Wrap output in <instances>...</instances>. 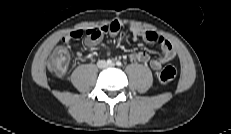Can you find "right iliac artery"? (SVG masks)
I'll return each mask as SVG.
<instances>
[{"mask_svg": "<svg viewBox=\"0 0 231 134\" xmlns=\"http://www.w3.org/2000/svg\"><path fill=\"white\" fill-rule=\"evenodd\" d=\"M107 64H112V60H111V59H108V60H107Z\"/></svg>", "mask_w": 231, "mask_h": 134, "instance_id": "right-iliac-artery-1", "label": "right iliac artery"}]
</instances>
